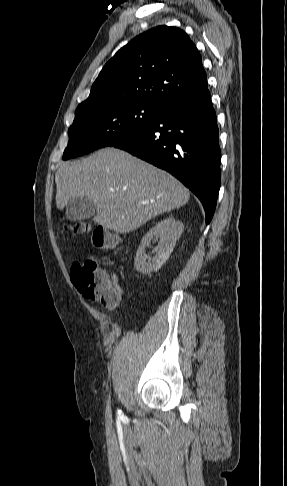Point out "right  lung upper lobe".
Instances as JSON below:
<instances>
[{"label": "right lung upper lobe", "mask_w": 287, "mask_h": 486, "mask_svg": "<svg viewBox=\"0 0 287 486\" xmlns=\"http://www.w3.org/2000/svg\"><path fill=\"white\" fill-rule=\"evenodd\" d=\"M205 87L207 76L194 43L183 30L163 25L122 47L105 64L76 111L121 100L164 106Z\"/></svg>", "instance_id": "obj_1"}]
</instances>
